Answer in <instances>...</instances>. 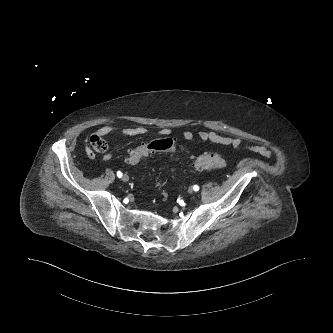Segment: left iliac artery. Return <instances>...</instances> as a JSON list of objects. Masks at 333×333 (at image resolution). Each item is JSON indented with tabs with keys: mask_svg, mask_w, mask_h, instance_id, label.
Returning a JSON list of instances; mask_svg holds the SVG:
<instances>
[{
	"mask_svg": "<svg viewBox=\"0 0 333 333\" xmlns=\"http://www.w3.org/2000/svg\"><path fill=\"white\" fill-rule=\"evenodd\" d=\"M193 189H194V191H198L199 190V186L198 185H194Z\"/></svg>",
	"mask_w": 333,
	"mask_h": 333,
	"instance_id": "44dca946",
	"label": "left iliac artery"
}]
</instances>
